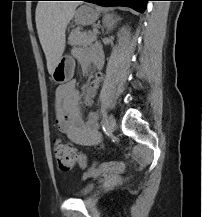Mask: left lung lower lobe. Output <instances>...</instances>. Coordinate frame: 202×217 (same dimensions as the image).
<instances>
[{"instance_id": "obj_1", "label": "left lung lower lobe", "mask_w": 202, "mask_h": 217, "mask_svg": "<svg viewBox=\"0 0 202 217\" xmlns=\"http://www.w3.org/2000/svg\"><path fill=\"white\" fill-rule=\"evenodd\" d=\"M90 3H94L103 7L110 6H125L130 7L138 12H144L146 9V3L149 0H82Z\"/></svg>"}]
</instances>
